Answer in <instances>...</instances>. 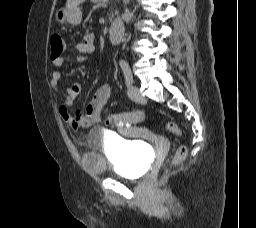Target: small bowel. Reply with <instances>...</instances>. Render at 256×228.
<instances>
[{
	"label": "small bowel",
	"instance_id": "c3829d8e",
	"mask_svg": "<svg viewBox=\"0 0 256 228\" xmlns=\"http://www.w3.org/2000/svg\"><path fill=\"white\" fill-rule=\"evenodd\" d=\"M73 50L78 53L80 60H85L88 55L95 50V39L93 34H86L79 42L73 45ZM54 66L61 67L65 62L63 53L51 56ZM62 75L59 71H55L50 80L52 89L59 92V82ZM81 92V84L78 82L72 83L63 94V102L59 107V113L62 119L66 122L68 127L73 131H78L82 128L91 127L102 120V111L108 102L112 88L108 83L102 84L95 92L92 100L85 107L83 111H78L71 114L70 107L73 105L75 98Z\"/></svg>",
	"mask_w": 256,
	"mask_h": 228
}]
</instances>
